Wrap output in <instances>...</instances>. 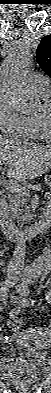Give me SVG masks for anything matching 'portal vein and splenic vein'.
<instances>
[{"label":"portal vein and splenic vein","mask_w":51,"mask_h":393,"mask_svg":"<svg viewBox=\"0 0 51 393\" xmlns=\"http://www.w3.org/2000/svg\"><path fill=\"white\" fill-rule=\"evenodd\" d=\"M6 187L8 189H10L11 191L22 192L24 195L29 196L27 188L24 186H21V185L15 184V183H10V184L6 185Z\"/></svg>","instance_id":"obj_1"}]
</instances>
